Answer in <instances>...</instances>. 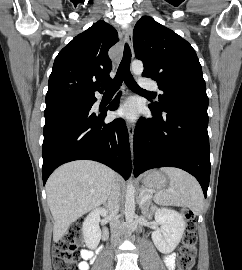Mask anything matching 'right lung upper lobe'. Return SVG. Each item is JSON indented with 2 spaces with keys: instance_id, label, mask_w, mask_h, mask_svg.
Instances as JSON below:
<instances>
[{
  "instance_id": "obj_1",
  "label": "right lung upper lobe",
  "mask_w": 242,
  "mask_h": 270,
  "mask_svg": "<svg viewBox=\"0 0 242 270\" xmlns=\"http://www.w3.org/2000/svg\"><path fill=\"white\" fill-rule=\"evenodd\" d=\"M118 42L117 31L98 21L77 35L55 58L49 77L46 108L95 98L100 83L111 80L108 50Z\"/></svg>"
}]
</instances>
